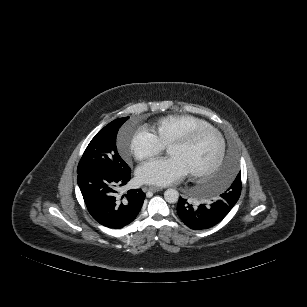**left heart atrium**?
<instances>
[{
    "label": "left heart atrium",
    "mask_w": 307,
    "mask_h": 307,
    "mask_svg": "<svg viewBox=\"0 0 307 307\" xmlns=\"http://www.w3.org/2000/svg\"><path fill=\"white\" fill-rule=\"evenodd\" d=\"M189 172L175 156L160 157L141 164L136 171L139 183L166 186L181 180Z\"/></svg>",
    "instance_id": "39dd6f15"
}]
</instances>
